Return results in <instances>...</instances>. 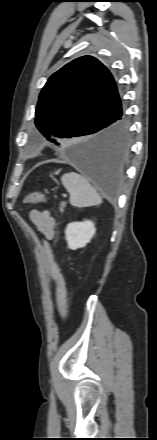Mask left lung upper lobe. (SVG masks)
<instances>
[{
  "label": "left lung upper lobe",
  "instance_id": "left-lung-upper-lobe-1",
  "mask_svg": "<svg viewBox=\"0 0 157 440\" xmlns=\"http://www.w3.org/2000/svg\"><path fill=\"white\" fill-rule=\"evenodd\" d=\"M122 108L116 83L96 58L83 56L54 73L43 87L36 108L38 130L56 145L97 134Z\"/></svg>",
  "mask_w": 157,
  "mask_h": 440
}]
</instances>
